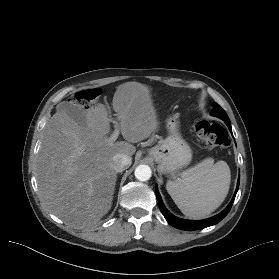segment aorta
Segmentation results:
<instances>
[{
    "label": "aorta",
    "mask_w": 279,
    "mask_h": 279,
    "mask_svg": "<svg viewBox=\"0 0 279 279\" xmlns=\"http://www.w3.org/2000/svg\"><path fill=\"white\" fill-rule=\"evenodd\" d=\"M151 168L148 165H138L135 169V177L139 181H147L151 178Z\"/></svg>",
    "instance_id": "1"
}]
</instances>
